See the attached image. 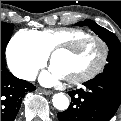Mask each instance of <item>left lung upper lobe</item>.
<instances>
[{
  "label": "left lung upper lobe",
  "instance_id": "left-lung-upper-lobe-1",
  "mask_svg": "<svg viewBox=\"0 0 121 121\" xmlns=\"http://www.w3.org/2000/svg\"><path fill=\"white\" fill-rule=\"evenodd\" d=\"M76 25L90 27L109 47L108 64L99 76H112L121 79V44L115 34L99 26L92 20H85Z\"/></svg>",
  "mask_w": 121,
  "mask_h": 121
}]
</instances>
